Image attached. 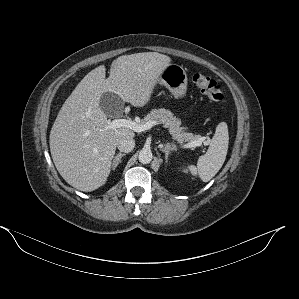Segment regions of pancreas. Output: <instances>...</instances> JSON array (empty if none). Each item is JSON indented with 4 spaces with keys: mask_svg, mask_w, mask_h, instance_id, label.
Instances as JSON below:
<instances>
[{
    "mask_svg": "<svg viewBox=\"0 0 299 299\" xmlns=\"http://www.w3.org/2000/svg\"><path fill=\"white\" fill-rule=\"evenodd\" d=\"M154 120H159L160 122H162L164 126L169 129V133L172 135V138L178 143H202L204 140L200 135H193L192 133L185 132V127H181L180 119L175 117L169 110H166L164 108L153 109L144 117V119L141 120V124H146Z\"/></svg>",
    "mask_w": 299,
    "mask_h": 299,
    "instance_id": "1",
    "label": "pancreas"
}]
</instances>
